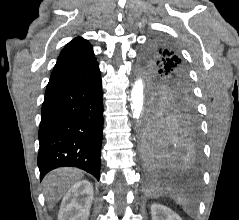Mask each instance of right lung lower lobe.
Returning <instances> with one entry per match:
<instances>
[{"mask_svg": "<svg viewBox=\"0 0 239 220\" xmlns=\"http://www.w3.org/2000/svg\"><path fill=\"white\" fill-rule=\"evenodd\" d=\"M102 131V81L97 61L50 78L38 134L41 179L64 166L83 169L99 179Z\"/></svg>", "mask_w": 239, "mask_h": 220, "instance_id": "obj_1", "label": "right lung lower lobe"}]
</instances>
